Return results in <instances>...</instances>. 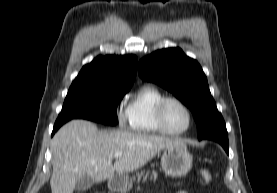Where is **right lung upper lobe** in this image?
<instances>
[{
	"label": "right lung upper lobe",
	"mask_w": 277,
	"mask_h": 193,
	"mask_svg": "<svg viewBox=\"0 0 277 193\" xmlns=\"http://www.w3.org/2000/svg\"><path fill=\"white\" fill-rule=\"evenodd\" d=\"M136 71L137 58L134 55L98 56L82 68L70 89L128 91Z\"/></svg>",
	"instance_id": "1"
}]
</instances>
